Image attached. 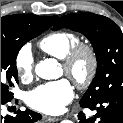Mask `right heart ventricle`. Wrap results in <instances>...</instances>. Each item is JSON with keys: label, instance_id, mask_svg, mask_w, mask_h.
<instances>
[{"label": "right heart ventricle", "instance_id": "1", "mask_svg": "<svg viewBox=\"0 0 123 123\" xmlns=\"http://www.w3.org/2000/svg\"><path fill=\"white\" fill-rule=\"evenodd\" d=\"M79 42L77 35L58 31L43 37L39 42V48L46 54L57 59H63L65 55Z\"/></svg>", "mask_w": 123, "mask_h": 123}]
</instances>
